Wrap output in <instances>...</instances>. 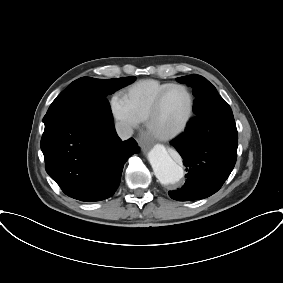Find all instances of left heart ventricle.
<instances>
[{"mask_svg":"<svg viewBox=\"0 0 283 283\" xmlns=\"http://www.w3.org/2000/svg\"><path fill=\"white\" fill-rule=\"evenodd\" d=\"M189 96L181 88L170 90L164 97L160 110L154 121V128L162 133L179 127L189 110Z\"/></svg>","mask_w":283,"mask_h":283,"instance_id":"obj_1","label":"left heart ventricle"}]
</instances>
